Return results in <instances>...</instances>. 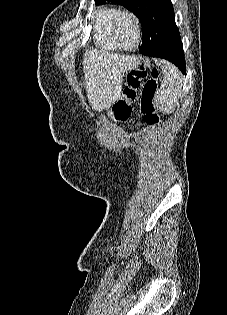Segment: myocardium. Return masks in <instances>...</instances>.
Returning <instances> with one entry per match:
<instances>
[{
  "label": "myocardium",
  "mask_w": 227,
  "mask_h": 315,
  "mask_svg": "<svg viewBox=\"0 0 227 315\" xmlns=\"http://www.w3.org/2000/svg\"><path fill=\"white\" fill-rule=\"evenodd\" d=\"M125 17L131 18L135 25H136V31H137V42L133 47H125L121 44L119 41L118 35H117V28L119 23L121 22L122 19ZM112 36L115 44L118 46V48L124 50V51H134L136 50L142 43L143 41V25L140 17L131 10H122L120 13L116 16L114 19L113 25H112Z\"/></svg>",
  "instance_id": "1"
}]
</instances>
